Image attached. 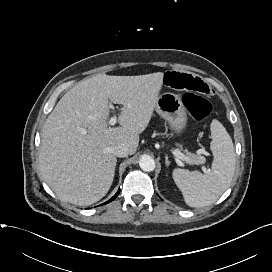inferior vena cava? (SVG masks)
Listing matches in <instances>:
<instances>
[{"mask_svg": "<svg viewBox=\"0 0 272 272\" xmlns=\"http://www.w3.org/2000/svg\"><path fill=\"white\" fill-rule=\"evenodd\" d=\"M112 152L117 157H126L129 154V148L126 144H118L113 147Z\"/></svg>", "mask_w": 272, "mask_h": 272, "instance_id": "inferior-vena-cava-1", "label": "inferior vena cava"}]
</instances>
